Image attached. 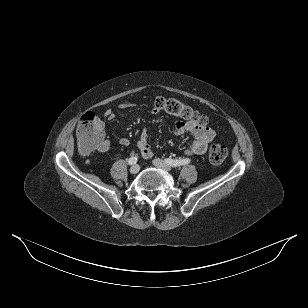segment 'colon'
Returning a JSON list of instances; mask_svg holds the SVG:
<instances>
[{
    "instance_id": "5ec220e1",
    "label": "colon",
    "mask_w": 308,
    "mask_h": 308,
    "mask_svg": "<svg viewBox=\"0 0 308 308\" xmlns=\"http://www.w3.org/2000/svg\"><path fill=\"white\" fill-rule=\"evenodd\" d=\"M156 111H164L176 116L184 121L196 123L201 126L207 125V118L190 106L175 98L157 97L153 101ZM79 150L84 154H89L98 149L103 141L104 130L98 117L93 112L85 113L76 130ZM227 156V149L220 144H212L209 149V162L212 165H220Z\"/></svg>"
}]
</instances>
